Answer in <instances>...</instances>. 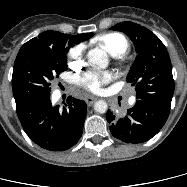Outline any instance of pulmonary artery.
<instances>
[{
  "instance_id": "obj_1",
  "label": "pulmonary artery",
  "mask_w": 187,
  "mask_h": 187,
  "mask_svg": "<svg viewBox=\"0 0 187 187\" xmlns=\"http://www.w3.org/2000/svg\"><path fill=\"white\" fill-rule=\"evenodd\" d=\"M135 101V99L134 98H132L131 100H130V103H133Z\"/></svg>"
}]
</instances>
